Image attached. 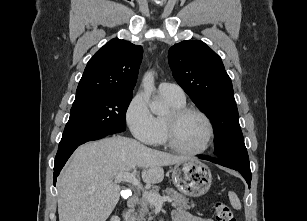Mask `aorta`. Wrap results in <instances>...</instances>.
<instances>
[{"label": "aorta", "instance_id": "1", "mask_svg": "<svg viewBox=\"0 0 307 221\" xmlns=\"http://www.w3.org/2000/svg\"><path fill=\"white\" fill-rule=\"evenodd\" d=\"M142 86L144 88L145 93L149 96L155 91L153 71H148L147 73H145L142 80ZM149 107L152 113L156 115H161L167 112V106L156 99H153L150 102Z\"/></svg>", "mask_w": 307, "mask_h": 221}]
</instances>
